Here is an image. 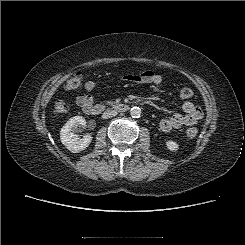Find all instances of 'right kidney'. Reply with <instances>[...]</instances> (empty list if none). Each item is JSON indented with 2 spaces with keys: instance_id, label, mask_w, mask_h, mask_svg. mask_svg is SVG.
I'll use <instances>...</instances> for the list:
<instances>
[{
  "instance_id": "obj_1",
  "label": "right kidney",
  "mask_w": 245,
  "mask_h": 245,
  "mask_svg": "<svg viewBox=\"0 0 245 245\" xmlns=\"http://www.w3.org/2000/svg\"><path fill=\"white\" fill-rule=\"evenodd\" d=\"M78 125H86V120L84 117L74 116L70 118L60 131V139L62 144L73 153H78L85 150L92 141V136L90 134H86L82 139H80L77 134L73 133V128H76Z\"/></svg>"
}]
</instances>
